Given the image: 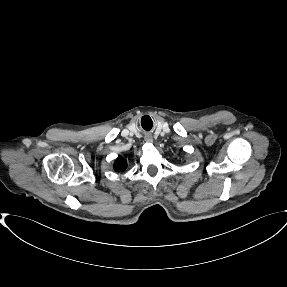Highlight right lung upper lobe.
<instances>
[{"mask_svg":"<svg viewBox=\"0 0 287 287\" xmlns=\"http://www.w3.org/2000/svg\"><path fill=\"white\" fill-rule=\"evenodd\" d=\"M127 168V162L122 159V158H118L116 161H115V164H114V169L116 171L120 170V171H123Z\"/></svg>","mask_w":287,"mask_h":287,"instance_id":"1","label":"right lung upper lobe"}]
</instances>
